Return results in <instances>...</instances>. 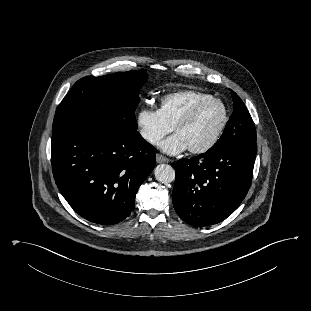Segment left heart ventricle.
I'll return each mask as SVG.
<instances>
[{
    "mask_svg": "<svg viewBox=\"0 0 311 311\" xmlns=\"http://www.w3.org/2000/svg\"><path fill=\"white\" fill-rule=\"evenodd\" d=\"M221 119L222 107L216 102H210L176 133L182 137L188 148L200 147L212 137Z\"/></svg>",
    "mask_w": 311,
    "mask_h": 311,
    "instance_id": "1",
    "label": "left heart ventricle"
}]
</instances>
